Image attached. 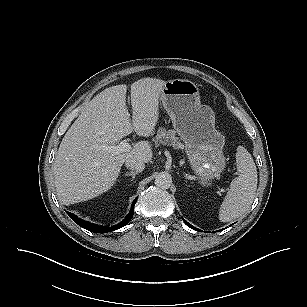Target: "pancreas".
<instances>
[{
  "label": "pancreas",
  "mask_w": 307,
  "mask_h": 307,
  "mask_svg": "<svg viewBox=\"0 0 307 307\" xmlns=\"http://www.w3.org/2000/svg\"><path fill=\"white\" fill-rule=\"evenodd\" d=\"M153 141L156 147L160 145H168L172 146L174 149H184V145L179 141L174 130L159 128Z\"/></svg>",
  "instance_id": "obj_1"
}]
</instances>
